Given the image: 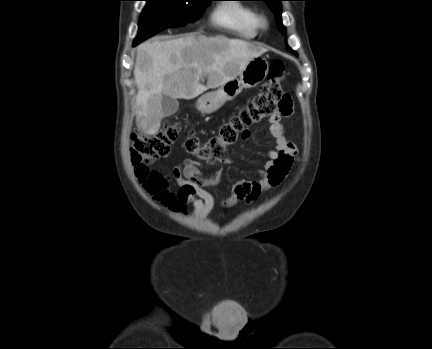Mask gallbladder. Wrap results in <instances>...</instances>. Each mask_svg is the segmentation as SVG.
<instances>
[{
	"label": "gallbladder",
	"mask_w": 432,
	"mask_h": 349,
	"mask_svg": "<svg viewBox=\"0 0 432 349\" xmlns=\"http://www.w3.org/2000/svg\"><path fill=\"white\" fill-rule=\"evenodd\" d=\"M164 117L171 116L178 111L179 103L177 99L164 95L161 102Z\"/></svg>",
	"instance_id": "obj_1"
}]
</instances>
